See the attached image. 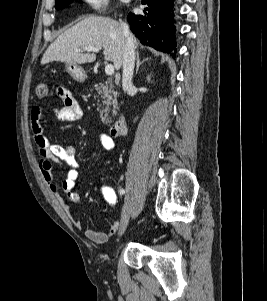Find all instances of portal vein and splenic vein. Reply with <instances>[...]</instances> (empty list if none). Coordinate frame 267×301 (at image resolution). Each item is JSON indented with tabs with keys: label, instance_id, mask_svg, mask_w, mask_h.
<instances>
[{
	"label": "portal vein and splenic vein",
	"instance_id": "portal-vein-and-splenic-vein-1",
	"mask_svg": "<svg viewBox=\"0 0 267 301\" xmlns=\"http://www.w3.org/2000/svg\"><path fill=\"white\" fill-rule=\"evenodd\" d=\"M83 49L88 52H99V50H100L99 48L92 47V46H87V47H84ZM105 73L109 76L113 75L114 66L112 64H107L105 67Z\"/></svg>",
	"mask_w": 267,
	"mask_h": 301
}]
</instances>
